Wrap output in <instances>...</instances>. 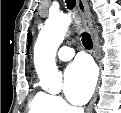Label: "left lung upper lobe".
Wrapping results in <instances>:
<instances>
[{"mask_svg":"<svg viewBox=\"0 0 121 113\" xmlns=\"http://www.w3.org/2000/svg\"><path fill=\"white\" fill-rule=\"evenodd\" d=\"M30 41H31V34L29 33V40H28V42L30 43Z\"/></svg>","mask_w":121,"mask_h":113,"instance_id":"1","label":"left lung upper lobe"}]
</instances>
